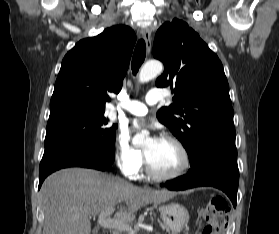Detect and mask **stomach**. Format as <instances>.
I'll list each match as a JSON object with an SVG mask.
<instances>
[{"mask_svg":"<svg viewBox=\"0 0 279 234\" xmlns=\"http://www.w3.org/2000/svg\"><path fill=\"white\" fill-rule=\"evenodd\" d=\"M162 221L173 233H179L189 221V213L185 207L171 203L159 208Z\"/></svg>","mask_w":279,"mask_h":234,"instance_id":"0dacf381","label":"stomach"}]
</instances>
